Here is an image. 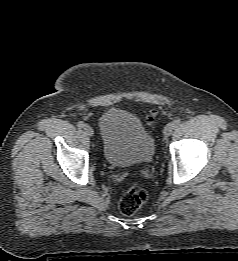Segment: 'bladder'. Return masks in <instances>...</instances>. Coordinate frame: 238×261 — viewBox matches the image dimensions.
<instances>
[{"label": "bladder", "mask_w": 238, "mask_h": 261, "mask_svg": "<svg viewBox=\"0 0 238 261\" xmlns=\"http://www.w3.org/2000/svg\"><path fill=\"white\" fill-rule=\"evenodd\" d=\"M104 159L126 167L149 162L155 153L150 132L133 114L118 108L106 110L99 119Z\"/></svg>", "instance_id": "31cf9c89"}]
</instances>
